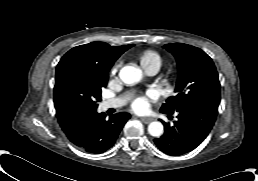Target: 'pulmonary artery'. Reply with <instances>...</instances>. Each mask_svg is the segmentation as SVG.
I'll return each mask as SVG.
<instances>
[{
    "instance_id": "obj_1",
    "label": "pulmonary artery",
    "mask_w": 258,
    "mask_h": 181,
    "mask_svg": "<svg viewBox=\"0 0 258 181\" xmlns=\"http://www.w3.org/2000/svg\"><path fill=\"white\" fill-rule=\"evenodd\" d=\"M158 70L159 69L154 68V69L147 71V73L152 76V75H155L158 72ZM126 99H127V97L121 96V97L105 100L102 102L101 108L103 110H107L110 108H119L124 105V103L126 102Z\"/></svg>"
}]
</instances>
